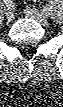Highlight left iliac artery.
Listing matches in <instances>:
<instances>
[{"instance_id":"left-iliac-artery-1","label":"left iliac artery","mask_w":63,"mask_h":107,"mask_svg":"<svg viewBox=\"0 0 63 107\" xmlns=\"http://www.w3.org/2000/svg\"><path fill=\"white\" fill-rule=\"evenodd\" d=\"M43 11L46 16H49L52 13L51 6L47 5Z\"/></svg>"}]
</instances>
